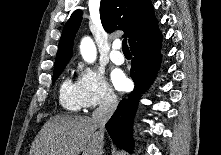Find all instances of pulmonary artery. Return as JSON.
<instances>
[{"label":"pulmonary artery","mask_w":221,"mask_h":155,"mask_svg":"<svg viewBox=\"0 0 221 155\" xmlns=\"http://www.w3.org/2000/svg\"><path fill=\"white\" fill-rule=\"evenodd\" d=\"M120 48H121L120 41L117 40V41L113 42L112 51L110 52V59L113 63H115L117 65H121L125 61V57L122 54V52L120 51Z\"/></svg>","instance_id":"obj_1"}]
</instances>
